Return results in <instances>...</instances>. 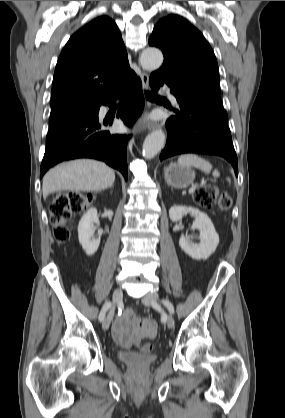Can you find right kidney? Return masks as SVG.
Masks as SVG:
<instances>
[{"mask_svg": "<svg viewBox=\"0 0 285 418\" xmlns=\"http://www.w3.org/2000/svg\"><path fill=\"white\" fill-rule=\"evenodd\" d=\"M98 221L97 210L92 208L82 216L78 224L79 243L88 256L95 254L100 244V237H94V224Z\"/></svg>", "mask_w": 285, "mask_h": 418, "instance_id": "1", "label": "right kidney"}]
</instances>
